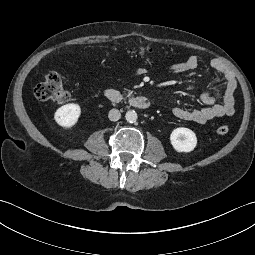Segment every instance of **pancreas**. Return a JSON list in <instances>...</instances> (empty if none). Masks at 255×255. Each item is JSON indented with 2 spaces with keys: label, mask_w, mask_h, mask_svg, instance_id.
Returning <instances> with one entry per match:
<instances>
[{
  "label": "pancreas",
  "mask_w": 255,
  "mask_h": 255,
  "mask_svg": "<svg viewBox=\"0 0 255 255\" xmlns=\"http://www.w3.org/2000/svg\"><path fill=\"white\" fill-rule=\"evenodd\" d=\"M125 92V91H124ZM128 97L132 96V91L131 90H128V94H127Z\"/></svg>",
  "instance_id": "1"
}]
</instances>
